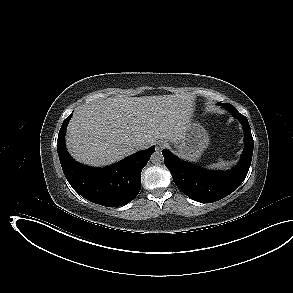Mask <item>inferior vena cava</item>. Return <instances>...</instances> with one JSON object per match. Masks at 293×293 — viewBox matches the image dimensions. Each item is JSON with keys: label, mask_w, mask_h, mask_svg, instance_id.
<instances>
[{"label": "inferior vena cava", "mask_w": 293, "mask_h": 293, "mask_svg": "<svg viewBox=\"0 0 293 293\" xmlns=\"http://www.w3.org/2000/svg\"><path fill=\"white\" fill-rule=\"evenodd\" d=\"M136 147H137L138 150H143V149H147L149 146L148 145H145V144H143L141 142H138L136 144Z\"/></svg>", "instance_id": "obj_1"}]
</instances>
